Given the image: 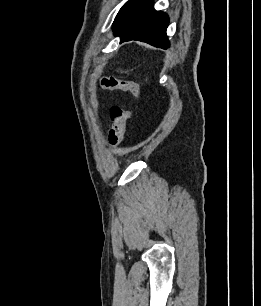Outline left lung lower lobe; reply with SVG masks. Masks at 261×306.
Here are the masks:
<instances>
[{
  "label": "left lung lower lobe",
  "instance_id": "left-lung-lower-lobe-1",
  "mask_svg": "<svg viewBox=\"0 0 261 306\" xmlns=\"http://www.w3.org/2000/svg\"><path fill=\"white\" fill-rule=\"evenodd\" d=\"M168 15L155 11L153 0H131L123 10L117 24L113 28L120 42L139 40L155 47L167 49L169 41L166 28Z\"/></svg>",
  "mask_w": 261,
  "mask_h": 306
}]
</instances>
